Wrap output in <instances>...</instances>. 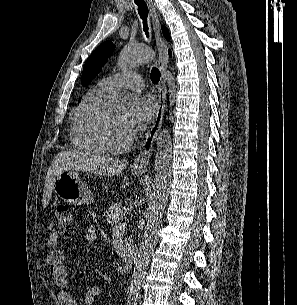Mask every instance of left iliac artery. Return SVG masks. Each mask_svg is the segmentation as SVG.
<instances>
[{"mask_svg":"<svg viewBox=\"0 0 297 305\" xmlns=\"http://www.w3.org/2000/svg\"><path fill=\"white\" fill-rule=\"evenodd\" d=\"M128 305H137V295H130L129 296Z\"/></svg>","mask_w":297,"mask_h":305,"instance_id":"left-iliac-artery-1","label":"left iliac artery"}]
</instances>
